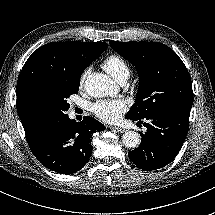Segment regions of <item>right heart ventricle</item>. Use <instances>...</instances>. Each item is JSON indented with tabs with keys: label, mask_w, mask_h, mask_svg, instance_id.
Returning a JSON list of instances; mask_svg holds the SVG:
<instances>
[{
	"label": "right heart ventricle",
	"mask_w": 215,
	"mask_h": 215,
	"mask_svg": "<svg viewBox=\"0 0 215 215\" xmlns=\"http://www.w3.org/2000/svg\"><path fill=\"white\" fill-rule=\"evenodd\" d=\"M102 67L117 81L122 77L129 76L130 68L123 57L118 54H111L105 58Z\"/></svg>",
	"instance_id": "right-heart-ventricle-1"
}]
</instances>
